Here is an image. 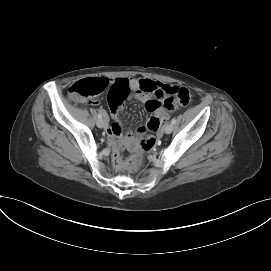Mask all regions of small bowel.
Wrapping results in <instances>:
<instances>
[{
  "instance_id": "small-bowel-1",
  "label": "small bowel",
  "mask_w": 271,
  "mask_h": 271,
  "mask_svg": "<svg viewBox=\"0 0 271 271\" xmlns=\"http://www.w3.org/2000/svg\"><path fill=\"white\" fill-rule=\"evenodd\" d=\"M108 82L109 89L106 93V100L109 102V107L111 108L112 123L106 127V133L111 143L115 146L129 144L134 140L132 134L122 135V124L119 119V113L123 109L124 100L133 92L132 97L142 102L145 108L149 112L154 113V118H157L160 122L167 118L166 110L172 111L175 109V106L168 108L164 105L163 107V101L156 96L159 91H162L169 85L150 79L136 78H118L109 80ZM143 84L147 86V89L142 88ZM151 94L155 98H152ZM145 131L146 128L144 127L138 129L139 134H143Z\"/></svg>"
}]
</instances>
